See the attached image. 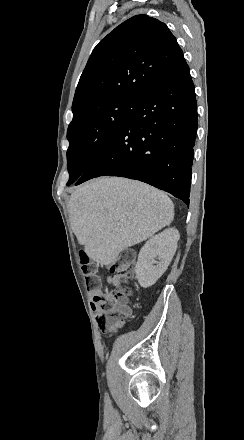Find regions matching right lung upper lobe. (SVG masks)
<instances>
[{
	"mask_svg": "<svg viewBox=\"0 0 244 440\" xmlns=\"http://www.w3.org/2000/svg\"><path fill=\"white\" fill-rule=\"evenodd\" d=\"M185 62L176 38L161 21L136 15L94 48L76 88L72 109L111 97H142Z\"/></svg>",
	"mask_w": 244,
	"mask_h": 440,
	"instance_id": "obj_1",
	"label": "right lung upper lobe"
}]
</instances>
